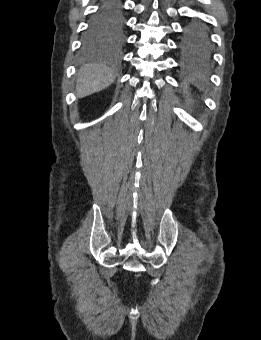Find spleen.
I'll return each instance as SVG.
<instances>
[{"label": "spleen", "mask_w": 261, "mask_h": 340, "mask_svg": "<svg viewBox=\"0 0 261 340\" xmlns=\"http://www.w3.org/2000/svg\"><path fill=\"white\" fill-rule=\"evenodd\" d=\"M190 80H191V82H192L194 85H196V86L200 85V83H201L200 77L197 76V75H193V76L190 78Z\"/></svg>", "instance_id": "3e777b00"}]
</instances>
